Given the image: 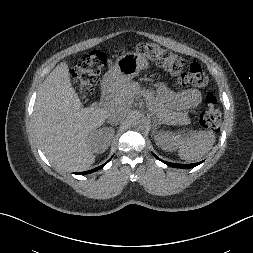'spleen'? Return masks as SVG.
I'll use <instances>...</instances> for the list:
<instances>
[{
    "label": "spleen",
    "instance_id": "3e777b00",
    "mask_svg": "<svg viewBox=\"0 0 253 253\" xmlns=\"http://www.w3.org/2000/svg\"><path fill=\"white\" fill-rule=\"evenodd\" d=\"M171 134L173 147L178 151L179 157L186 161H195L206 155L215 142L213 131H185Z\"/></svg>",
    "mask_w": 253,
    "mask_h": 253
}]
</instances>
